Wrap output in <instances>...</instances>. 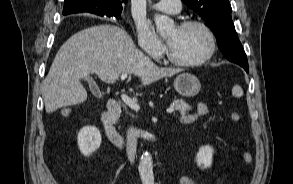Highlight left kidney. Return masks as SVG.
<instances>
[{"instance_id":"obj_1","label":"left kidney","mask_w":293,"mask_h":184,"mask_svg":"<svg viewBox=\"0 0 293 184\" xmlns=\"http://www.w3.org/2000/svg\"><path fill=\"white\" fill-rule=\"evenodd\" d=\"M212 157L213 148L209 145L202 146L196 155L197 165L203 169L210 167L212 164Z\"/></svg>"}]
</instances>
